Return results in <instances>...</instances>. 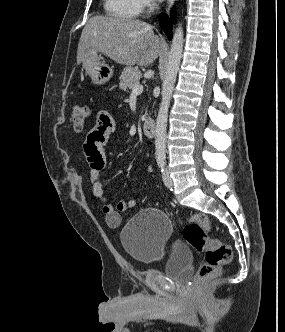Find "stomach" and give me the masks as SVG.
<instances>
[{"instance_id":"1","label":"stomach","mask_w":285,"mask_h":332,"mask_svg":"<svg viewBox=\"0 0 285 332\" xmlns=\"http://www.w3.org/2000/svg\"><path fill=\"white\" fill-rule=\"evenodd\" d=\"M83 66L95 85H103L113 76L112 68L102 61V57L98 53L86 60Z\"/></svg>"}]
</instances>
